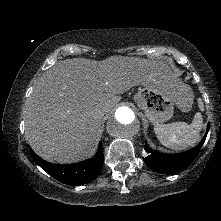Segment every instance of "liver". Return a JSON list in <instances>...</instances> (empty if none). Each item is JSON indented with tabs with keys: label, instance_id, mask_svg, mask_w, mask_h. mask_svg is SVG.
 Returning a JSON list of instances; mask_svg holds the SVG:
<instances>
[{
	"label": "liver",
	"instance_id": "obj_1",
	"mask_svg": "<svg viewBox=\"0 0 221 221\" xmlns=\"http://www.w3.org/2000/svg\"><path fill=\"white\" fill-rule=\"evenodd\" d=\"M171 77L164 62L138 57L58 61L42 74L26 101V140L48 162L85 159L97 146L100 109L111 111L134 86L165 83Z\"/></svg>",
	"mask_w": 221,
	"mask_h": 221
}]
</instances>
